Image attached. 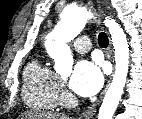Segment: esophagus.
<instances>
[{
  "label": "esophagus",
  "instance_id": "obj_1",
  "mask_svg": "<svg viewBox=\"0 0 142 119\" xmlns=\"http://www.w3.org/2000/svg\"><path fill=\"white\" fill-rule=\"evenodd\" d=\"M111 55H112V49H111V44H110V47L108 49V57L111 58ZM107 88H108V84L106 85L105 89L103 90L102 95L105 94ZM96 107H97V103H93L90 107H88V109L85 112H83L79 116V119H91L96 112Z\"/></svg>",
  "mask_w": 142,
  "mask_h": 119
}]
</instances>
